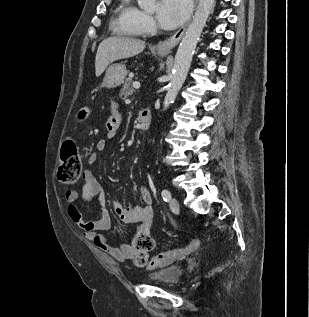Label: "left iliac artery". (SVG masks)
I'll list each match as a JSON object with an SVG mask.
<instances>
[{"label":"left iliac artery","instance_id":"left-iliac-artery-1","mask_svg":"<svg viewBox=\"0 0 309 317\" xmlns=\"http://www.w3.org/2000/svg\"><path fill=\"white\" fill-rule=\"evenodd\" d=\"M161 195L165 202H168L171 199V193L167 189L162 190Z\"/></svg>","mask_w":309,"mask_h":317}]
</instances>
